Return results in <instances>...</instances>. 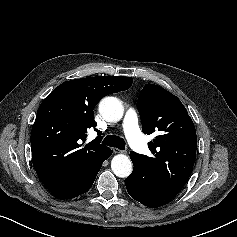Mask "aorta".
<instances>
[{
    "label": "aorta",
    "mask_w": 237,
    "mask_h": 237,
    "mask_svg": "<svg viewBox=\"0 0 237 237\" xmlns=\"http://www.w3.org/2000/svg\"><path fill=\"white\" fill-rule=\"evenodd\" d=\"M123 111L120 100L115 97H105L99 103V112L107 121H119L123 116ZM111 168L116 176L126 178L132 172V162L126 155L118 154L113 157Z\"/></svg>",
    "instance_id": "1"
}]
</instances>
